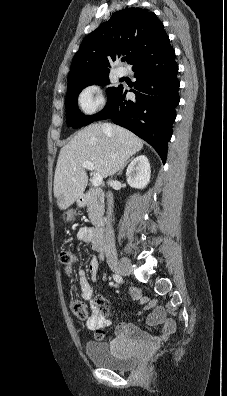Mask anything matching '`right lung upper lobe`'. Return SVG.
<instances>
[{"label":"right lung upper lobe","mask_w":227,"mask_h":396,"mask_svg":"<svg viewBox=\"0 0 227 396\" xmlns=\"http://www.w3.org/2000/svg\"><path fill=\"white\" fill-rule=\"evenodd\" d=\"M169 41L162 22L155 13L141 8H127L91 32L75 54L68 75V88L109 73V59L122 55L133 64L147 51Z\"/></svg>","instance_id":"1"}]
</instances>
